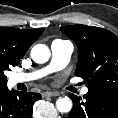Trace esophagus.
<instances>
[{
    "mask_svg": "<svg viewBox=\"0 0 118 118\" xmlns=\"http://www.w3.org/2000/svg\"><path fill=\"white\" fill-rule=\"evenodd\" d=\"M43 97H54V96H58L59 93L56 91H45L43 92Z\"/></svg>",
    "mask_w": 118,
    "mask_h": 118,
    "instance_id": "1",
    "label": "esophagus"
}]
</instances>
